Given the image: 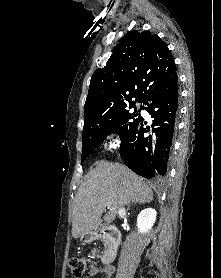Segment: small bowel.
<instances>
[{"mask_svg": "<svg viewBox=\"0 0 221 278\" xmlns=\"http://www.w3.org/2000/svg\"><path fill=\"white\" fill-rule=\"evenodd\" d=\"M99 274H103L105 277L108 278L113 274V269L108 268V267L99 268V267L93 266L86 278H92Z\"/></svg>", "mask_w": 221, "mask_h": 278, "instance_id": "c3829d8e", "label": "small bowel"}]
</instances>
